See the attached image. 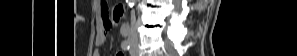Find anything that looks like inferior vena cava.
Segmentation results:
<instances>
[{"label": "inferior vena cava", "mask_w": 297, "mask_h": 56, "mask_svg": "<svg viewBox=\"0 0 297 56\" xmlns=\"http://www.w3.org/2000/svg\"><path fill=\"white\" fill-rule=\"evenodd\" d=\"M135 24H136L135 12L132 11L131 13V34L132 35L136 34Z\"/></svg>", "instance_id": "inferior-vena-cava-1"}]
</instances>
